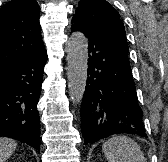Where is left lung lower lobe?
Returning <instances> with one entry per match:
<instances>
[{"label":"left lung lower lobe","instance_id":"0a47b994","mask_svg":"<svg viewBox=\"0 0 168 162\" xmlns=\"http://www.w3.org/2000/svg\"><path fill=\"white\" fill-rule=\"evenodd\" d=\"M72 31L88 39V77L80 114L85 144L120 133L147 137L128 51L84 24L74 23Z\"/></svg>","mask_w":168,"mask_h":162}]
</instances>
